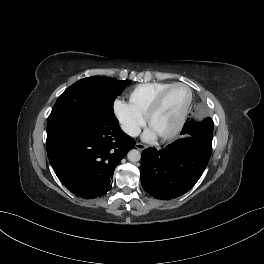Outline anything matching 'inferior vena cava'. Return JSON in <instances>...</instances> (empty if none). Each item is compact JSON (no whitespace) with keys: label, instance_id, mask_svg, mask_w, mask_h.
I'll use <instances>...</instances> for the list:
<instances>
[{"label":"inferior vena cava","instance_id":"602c4592","mask_svg":"<svg viewBox=\"0 0 264 264\" xmlns=\"http://www.w3.org/2000/svg\"><path fill=\"white\" fill-rule=\"evenodd\" d=\"M121 127L126 134L132 137L138 136L141 132V129L133 124H123Z\"/></svg>","mask_w":264,"mask_h":264}]
</instances>
